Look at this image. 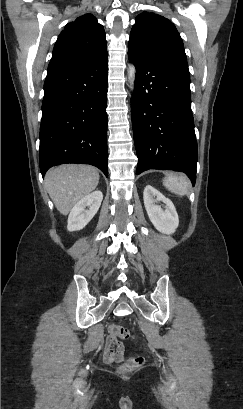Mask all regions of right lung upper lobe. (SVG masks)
<instances>
[{
	"label": "right lung upper lobe",
	"mask_w": 243,
	"mask_h": 409,
	"mask_svg": "<svg viewBox=\"0 0 243 409\" xmlns=\"http://www.w3.org/2000/svg\"><path fill=\"white\" fill-rule=\"evenodd\" d=\"M106 52L105 31L91 14L68 23L59 35L48 73L83 65Z\"/></svg>",
	"instance_id": "cb5924a9"
}]
</instances>
